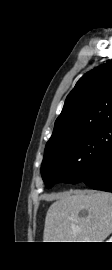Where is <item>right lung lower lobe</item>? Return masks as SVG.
I'll return each instance as SVG.
<instances>
[{"instance_id":"1","label":"right lung lower lobe","mask_w":112,"mask_h":270,"mask_svg":"<svg viewBox=\"0 0 112 270\" xmlns=\"http://www.w3.org/2000/svg\"><path fill=\"white\" fill-rule=\"evenodd\" d=\"M82 182L93 189L112 192V146L99 156Z\"/></svg>"}]
</instances>
